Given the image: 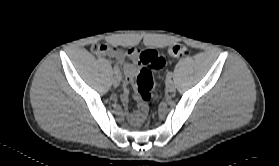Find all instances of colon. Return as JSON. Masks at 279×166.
Returning <instances> with one entry per match:
<instances>
[{
	"label": "colon",
	"instance_id": "1",
	"mask_svg": "<svg viewBox=\"0 0 279 166\" xmlns=\"http://www.w3.org/2000/svg\"><path fill=\"white\" fill-rule=\"evenodd\" d=\"M102 47V45L96 44L92 50L98 53ZM168 52L174 58H184L189 55V48L185 44H175L169 48ZM139 61L143 68L136 79V89L139 95V107L136 114L141 120L146 115L148 104L154 97L153 72L163 67L165 59L156 50H145L140 53Z\"/></svg>",
	"mask_w": 279,
	"mask_h": 166
}]
</instances>
